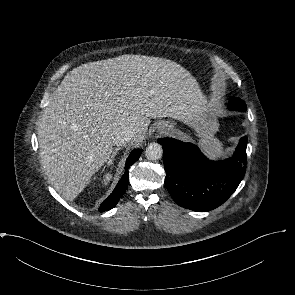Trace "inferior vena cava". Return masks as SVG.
I'll use <instances>...</instances> for the list:
<instances>
[{
	"instance_id": "602c4592",
	"label": "inferior vena cava",
	"mask_w": 295,
	"mask_h": 295,
	"mask_svg": "<svg viewBox=\"0 0 295 295\" xmlns=\"http://www.w3.org/2000/svg\"><path fill=\"white\" fill-rule=\"evenodd\" d=\"M134 138H135V132H133L132 130L124 131L115 138L114 145L116 146L125 145L126 143L132 141Z\"/></svg>"
}]
</instances>
